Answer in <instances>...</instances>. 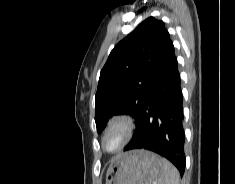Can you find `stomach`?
Returning a JSON list of instances; mask_svg holds the SVG:
<instances>
[{"instance_id": "0dacf381", "label": "stomach", "mask_w": 235, "mask_h": 184, "mask_svg": "<svg viewBox=\"0 0 235 184\" xmlns=\"http://www.w3.org/2000/svg\"><path fill=\"white\" fill-rule=\"evenodd\" d=\"M160 156L148 150H130L111 162L106 184H150L161 174Z\"/></svg>"}]
</instances>
